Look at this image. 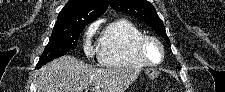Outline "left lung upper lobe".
<instances>
[{
	"instance_id": "obj_1",
	"label": "left lung upper lobe",
	"mask_w": 225,
	"mask_h": 92,
	"mask_svg": "<svg viewBox=\"0 0 225 92\" xmlns=\"http://www.w3.org/2000/svg\"><path fill=\"white\" fill-rule=\"evenodd\" d=\"M109 3L114 10L134 15L142 20L170 44L164 24L150 2L146 0H109Z\"/></svg>"
}]
</instances>
